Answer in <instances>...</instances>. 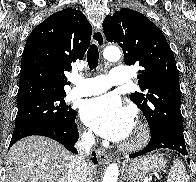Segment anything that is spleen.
Wrapping results in <instances>:
<instances>
[{"label":"spleen","instance_id":"3e777b00","mask_svg":"<svg viewBox=\"0 0 196 182\" xmlns=\"http://www.w3.org/2000/svg\"><path fill=\"white\" fill-rule=\"evenodd\" d=\"M167 182H189V176L183 163L175 159L171 167Z\"/></svg>","mask_w":196,"mask_h":182}]
</instances>
